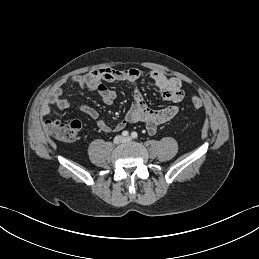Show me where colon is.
Listing matches in <instances>:
<instances>
[{"instance_id":"5ec220e1","label":"colon","mask_w":259,"mask_h":259,"mask_svg":"<svg viewBox=\"0 0 259 259\" xmlns=\"http://www.w3.org/2000/svg\"><path fill=\"white\" fill-rule=\"evenodd\" d=\"M191 105L194 109H199L202 107V100L200 98H193ZM80 129L81 123L77 120L70 122H49L45 126V130L49 135L64 142L76 140Z\"/></svg>"}]
</instances>
